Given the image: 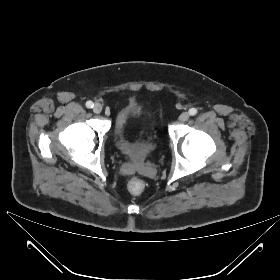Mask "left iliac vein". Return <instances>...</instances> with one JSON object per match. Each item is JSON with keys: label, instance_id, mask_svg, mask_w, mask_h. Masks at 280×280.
<instances>
[{"label": "left iliac vein", "instance_id": "obj_1", "mask_svg": "<svg viewBox=\"0 0 280 280\" xmlns=\"http://www.w3.org/2000/svg\"><path fill=\"white\" fill-rule=\"evenodd\" d=\"M190 115L188 112H183L180 116H179V121L180 122H185L189 119Z\"/></svg>", "mask_w": 280, "mask_h": 280}]
</instances>
